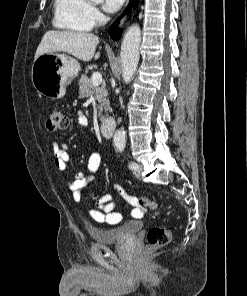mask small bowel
I'll use <instances>...</instances> for the list:
<instances>
[{"label": "small bowel", "instance_id": "c3829d8e", "mask_svg": "<svg viewBox=\"0 0 247 296\" xmlns=\"http://www.w3.org/2000/svg\"><path fill=\"white\" fill-rule=\"evenodd\" d=\"M76 121L80 127H88L89 120L81 112L76 114ZM69 160L68 147L66 144L54 143V164L57 169L64 170L66 164ZM102 162V156L99 152H93L88 159L87 168L88 173L80 172L78 173L74 180L68 183V187L72 192L74 201L80 202L85 194H87L88 186L95 179V173L98 171ZM114 193H118L124 200L133 206H138L136 203V197L129 194L122 186L119 184L113 185L111 191L101 195L97 201V209L89 210L90 217L98 222L109 225H116L122 222L124 214L116 211V204L112 201ZM139 212L136 208L135 213Z\"/></svg>", "mask_w": 247, "mask_h": 296}]
</instances>
